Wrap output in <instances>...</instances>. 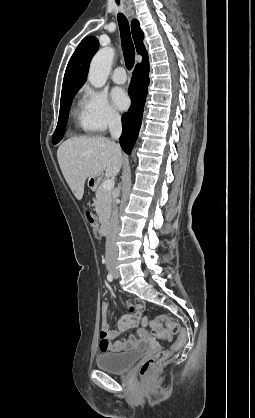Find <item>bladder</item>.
<instances>
[{"label":"bladder","instance_id":"bladder-1","mask_svg":"<svg viewBox=\"0 0 255 418\" xmlns=\"http://www.w3.org/2000/svg\"><path fill=\"white\" fill-rule=\"evenodd\" d=\"M142 355L139 349L124 352H106L96 357V365L99 369L109 373H124Z\"/></svg>","mask_w":255,"mask_h":418}]
</instances>
